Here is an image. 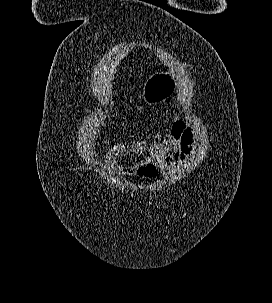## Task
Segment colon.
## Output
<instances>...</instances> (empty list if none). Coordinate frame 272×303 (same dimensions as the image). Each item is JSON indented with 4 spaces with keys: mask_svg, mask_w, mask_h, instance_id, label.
<instances>
[{
    "mask_svg": "<svg viewBox=\"0 0 272 303\" xmlns=\"http://www.w3.org/2000/svg\"><path fill=\"white\" fill-rule=\"evenodd\" d=\"M139 174L141 176L153 178L156 176V168L153 165H145L140 168Z\"/></svg>",
    "mask_w": 272,
    "mask_h": 303,
    "instance_id": "colon-1",
    "label": "colon"
}]
</instances>
